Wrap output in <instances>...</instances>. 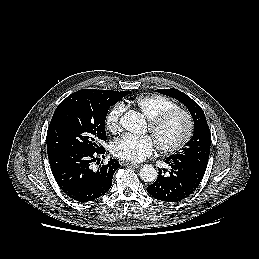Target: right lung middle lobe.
I'll return each mask as SVG.
<instances>
[{
  "label": "right lung middle lobe",
  "mask_w": 259,
  "mask_h": 259,
  "mask_svg": "<svg viewBox=\"0 0 259 259\" xmlns=\"http://www.w3.org/2000/svg\"><path fill=\"white\" fill-rule=\"evenodd\" d=\"M125 95L115 96L82 89L65 98L56 108L48 127V157L68 150L100 149L99 142L106 141L108 109Z\"/></svg>",
  "instance_id": "dd1d6c3e"
}]
</instances>
